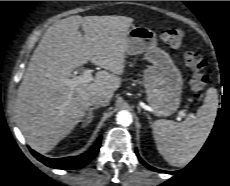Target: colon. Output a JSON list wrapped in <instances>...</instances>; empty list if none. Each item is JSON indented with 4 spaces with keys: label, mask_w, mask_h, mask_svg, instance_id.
<instances>
[{
    "label": "colon",
    "mask_w": 230,
    "mask_h": 186,
    "mask_svg": "<svg viewBox=\"0 0 230 186\" xmlns=\"http://www.w3.org/2000/svg\"><path fill=\"white\" fill-rule=\"evenodd\" d=\"M161 39L173 47H180L183 43V33L179 29H165L160 34ZM184 59L192 71L190 80L194 98H199L208 81V63L196 51L186 50Z\"/></svg>",
    "instance_id": "obj_1"
}]
</instances>
